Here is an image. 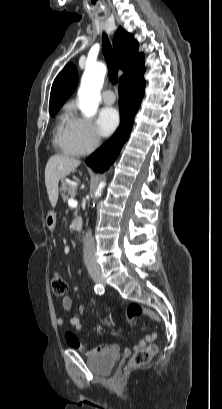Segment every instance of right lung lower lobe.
<instances>
[{"instance_id":"right-lung-lower-lobe-1","label":"right lung lower lobe","mask_w":222,"mask_h":409,"mask_svg":"<svg viewBox=\"0 0 222 409\" xmlns=\"http://www.w3.org/2000/svg\"><path fill=\"white\" fill-rule=\"evenodd\" d=\"M143 74L119 83L120 126L114 135L86 160L87 165L97 172H104L110 167L129 137L134 115L144 95Z\"/></svg>"}]
</instances>
